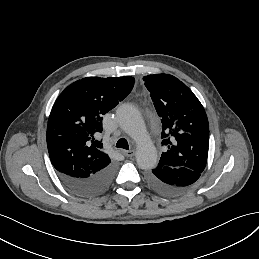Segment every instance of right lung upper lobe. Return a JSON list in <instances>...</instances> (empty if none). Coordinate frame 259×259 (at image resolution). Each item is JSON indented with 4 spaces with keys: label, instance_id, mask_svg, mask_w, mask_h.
Segmentation results:
<instances>
[{
    "label": "right lung upper lobe",
    "instance_id": "right-lung-upper-lobe-1",
    "mask_svg": "<svg viewBox=\"0 0 259 259\" xmlns=\"http://www.w3.org/2000/svg\"><path fill=\"white\" fill-rule=\"evenodd\" d=\"M135 79L86 77L57 98L47 125V148L54 168L72 177L86 178L105 169L109 156L97 140L102 119L132 90Z\"/></svg>",
    "mask_w": 259,
    "mask_h": 259
}]
</instances>
